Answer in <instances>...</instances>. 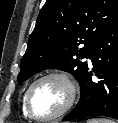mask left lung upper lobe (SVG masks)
Here are the masks:
<instances>
[{
    "instance_id": "obj_1",
    "label": "left lung upper lobe",
    "mask_w": 118,
    "mask_h": 123,
    "mask_svg": "<svg viewBox=\"0 0 118 123\" xmlns=\"http://www.w3.org/2000/svg\"><path fill=\"white\" fill-rule=\"evenodd\" d=\"M117 18L118 0H47L28 39L18 82L46 69H60L81 85L88 69L85 58Z\"/></svg>"
}]
</instances>
